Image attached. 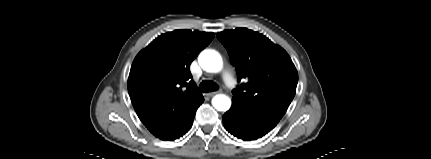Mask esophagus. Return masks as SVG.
Listing matches in <instances>:
<instances>
[{"label": "esophagus", "instance_id": "esophagus-1", "mask_svg": "<svg viewBox=\"0 0 431 159\" xmlns=\"http://www.w3.org/2000/svg\"><path fill=\"white\" fill-rule=\"evenodd\" d=\"M218 92H209L206 94V96L208 97H213L215 94H217Z\"/></svg>", "mask_w": 431, "mask_h": 159}]
</instances>
